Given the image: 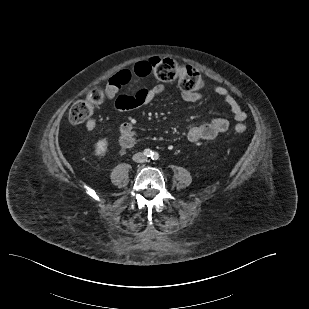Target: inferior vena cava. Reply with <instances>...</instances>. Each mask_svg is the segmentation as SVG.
<instances>
[{"label":"inferior vena cava","mask_w":309,"mask_h":309,"mask_svg":"<svg viewBox=\"0 0 309 309\" xmlns=\"http://www.w3.org/2000/svg\"><path fill=\"white\" fill-rule=\"evenodd\" d=\"M133 160L138 163H144L147 161V158L143 153L139 152L133 155Z\"/></svg>","instance_id":"602c4592"}]
</instances>
